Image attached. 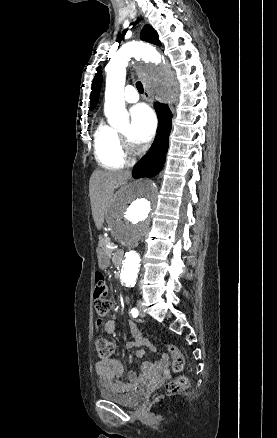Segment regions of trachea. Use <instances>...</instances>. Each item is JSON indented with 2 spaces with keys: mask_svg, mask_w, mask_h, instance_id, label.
<instances>
[{
  "mask_svg": "<svg viewBox=\"0 0 277 438\" xmlns=\"http://www.w3.org/2000/svg\"><path fill=\"white\" fill-rule=\"evenodd\" d=\"M136 88L140 93H143V85L141 82H136Z\"/></svg>",
  "mask_w": 277,
  "mask_h": 438,
  "instance_id": "1",
  "label": "trachea"
}]
</instances>
